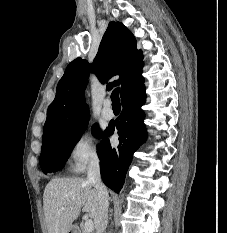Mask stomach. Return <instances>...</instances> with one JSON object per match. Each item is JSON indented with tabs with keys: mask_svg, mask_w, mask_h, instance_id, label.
I'll use <instances>...</instances> for the list:
<instances>
[{
	"mask_svg": "<svg viewBox=\"0 0 227 233\" xmlns=\"http://www.w3.org/2000/svg\"><path fill=\"white\" fill-rule=\"evenodd\" d=\"M71 231V233H77V231H76V229H75V227H73V226H71V228H70V230H69V232ZM68 232V233H69Z\"/></svg>",
	"mask_w": 227,
	"mask_h": 233,
	"instance_id": "obj_1",
	"label": "stomach"
}]
</instances>
